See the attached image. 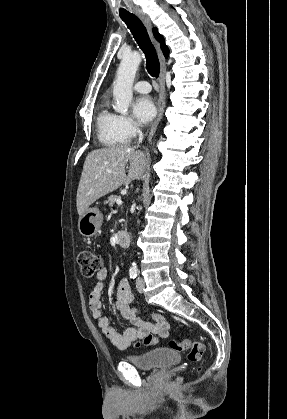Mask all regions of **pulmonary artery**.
I'll return each mask as SVG.
<instances>
[{
    "mask_svg": "<svg viewBox=\"0 0 287 419\" xmlns=\"http://www.w3.org/2000/svg\"><path fill=\"white\" fill-rule=\"evenodd\" d=\"M134 90L139 93H148L151 90V86L146 81H140L134 84Z\"/></svg>",
    "mask_w": 287,
    "mask_h": 419,
    "instance_id": "e3ab8cb5",
    "label": "pulmonary artery"
}]
</instances>
